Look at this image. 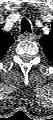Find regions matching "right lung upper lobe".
Here are the masks:
<instances>
[{
    "label": "right lung upper lobe",
    "mask_w": 53,
    "mask_h": 120,
    "mask_svg": "<svg viewBox=\"0 0 53 120\" xmlns=\"http://www.w3.org/2000/svg\"><path fill=\"white\" fill-rule=\"evenodd\" d=\"M14 43L13 37L9 33L0 31V59L5 55L8 48Z\"/></svg>",
    "instance_id": "1"
}]
</instances>
